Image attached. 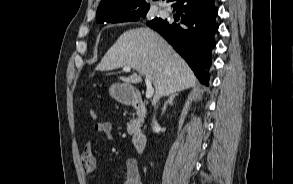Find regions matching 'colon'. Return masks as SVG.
Returning a JSON list of instances; mask_svg holds the SVG:
<instances>
[{
  "label": "colon",
  "mask_w": 293,
  "mask_h": 184,
  "mask_svg": "<svg viewBox=\"0 0 293 184\" xmlns=\"http://www.w3.org/2000/svg\"><path fill=\"white\" fill-rule=\"evenodd\" d=\"M91 118L95 119L97 117L96 111L94 109H90Z\"/></svg>",
  "instance_id": "5ec220e1"
}]
</instances>
